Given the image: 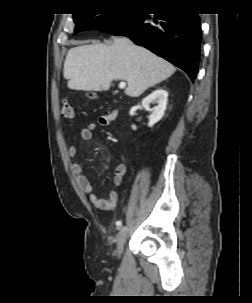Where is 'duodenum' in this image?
Masks as SVG:
<instances>
[{"label": "duodenum", "instance_id": "410a0bca", "mask_svg": "<svg viewBox=\"0 0 252 303\" xmlns=\"http://www.w3.org/2000/svg\"><path fill=\"white\" fill-rule=\"evenodd\" d=\"M117 116L116 112H112L109 116L110 119H114Z\"/></svg>", "mask_w": 252, "mask_h": 303}]
</instances>
